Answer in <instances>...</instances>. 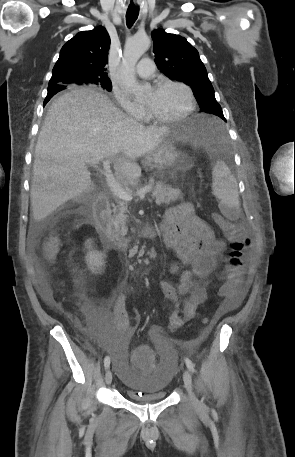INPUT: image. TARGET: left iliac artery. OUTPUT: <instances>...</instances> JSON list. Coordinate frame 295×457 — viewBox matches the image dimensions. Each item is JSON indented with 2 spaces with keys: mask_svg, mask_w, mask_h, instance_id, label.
<instances>
[{
  "mask_svg": "<svg viewBox=\"0 0 295 457\" xmlns=\"http://www.w3.org/2000/svg\"><path fill=\"white\" fill-rule=\"evenodd\" d=\"M184 360H185L186 366L190 370V372L194 373L195 369H194V365H193L192 361L189 358H185Z\"/></svg>",
  "mask_w": 295,
  "mask_h": 457,
  "instance_id": "obj_1",
  "label": "left iliac artery"
}]
</instances>
